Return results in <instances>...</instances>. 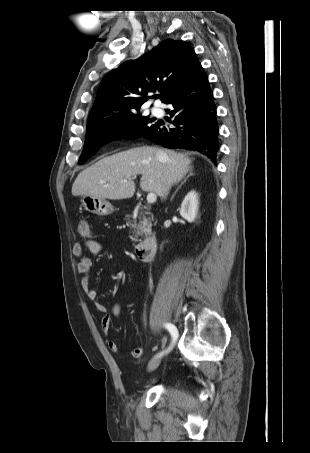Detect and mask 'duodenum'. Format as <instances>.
Instances as JSON below:
<instances>
[{
	"instance_id": "duodenum-1",
	"label": "duodenum",
	"mask_w": 310,
	"mask_h": 453,
	"mask_svg": "<svg viewBox=\"0 0 310 453\" xmlns=\"http://www.w3.org/2000/svg\"><path fill=\"white\" fill-rule=\"evenodd\" d=\"M157 248V237L150 234L147 238L139 242L135 248L138 259L147 262L153 259Z\"/></svg>"
}]
</instances>
